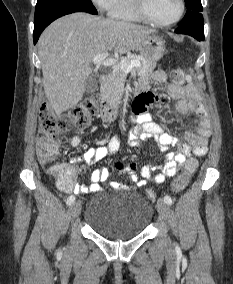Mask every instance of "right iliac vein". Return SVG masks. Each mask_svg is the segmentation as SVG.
<instances>
[{"label": "right iliac vein", "instance_id": "obj_1", "mask_svg": "<svg viewBox=\"0 0 233 284\" xmlns=\"http://www.w3.org/2000/svg\"><path fill=\"white\" fill-rule=\"evenodd\" d=\"M81 211V203L80 201L74 202L69 208V214L72 219H75Z\"/></svg>", "mask_w": 233, "mask_h": 284}]
</instances>
